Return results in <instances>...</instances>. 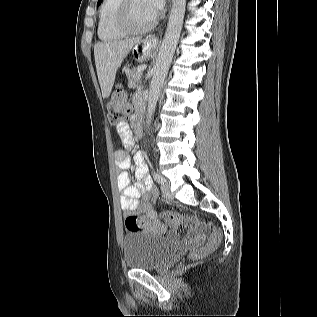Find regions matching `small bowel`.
<instances>
[{
  "label": "small bowel",
  "instance_id": "1",
  "mask_svg": "<svg viewBox=\"0 0 317 317\" xmlns=\"http://www.w3.org/2000/svg\"><path fill=\"white\" fill-rule=\"evenodd\" d=\"M134 103L136 107L139 108V101L137 99L134 100ZM116 129L120 142L124 146V149H119L115 152V163L119 169L117 186L121 194V209L125 212H137L144 215L147 220L156 222L158 220L154 202L158 193L147 173V168L141 153L134 155L137 181L134 184H131L130 181L129 168L131 159L127 151L132 149L135 145V138L132 131L125 122L119 124ZM141 195H145V198L140 201ZM190 236L193 240H196L199 237L198 230L193 228Z\"/></svg>",
  "mask_w": 317,
  "mask_h": 317
}]
</instances>
